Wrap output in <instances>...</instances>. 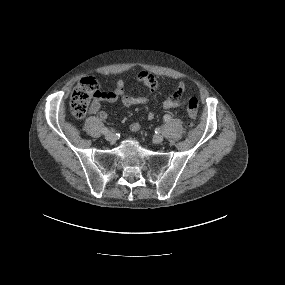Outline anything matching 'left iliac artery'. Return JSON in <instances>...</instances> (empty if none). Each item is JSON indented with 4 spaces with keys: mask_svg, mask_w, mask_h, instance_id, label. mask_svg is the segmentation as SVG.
I'll return each instance as SVG.
<instances>
[{
    "mask_svg": "<svg viewBox=\"0 0 285 285\" xmlns=\"http://www.w3.org/2000/svg\"><path fill=\"white\" fill-rule=\"evenodd\" d=\"M163 119H164L165 122H168V121H170L171 116L168 115V114H166V115H164ZM158 132H159V130H158ZM156 133H157V132H156Z\"/></svg>",
    "mask_w": 285,
    "mask_h": 285,
    "instance_id": "1",
    "label": "left iliac artery"
}]
</instances>
